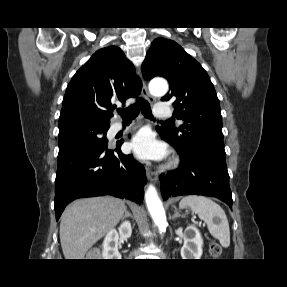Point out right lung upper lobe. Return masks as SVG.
Instances as JSON below:
<instances>
[{
    "mask_svg": "<svg viewBox=\"0 0 287 287\" xmlns=\"http://www.w3.org/2000/svg\"><path fill=\"white\" fill-rule=\"evenodd\" d=\"M142 81L116 46L102 48L72 77L62 103L59 127L76 122L110 124L113 103L136 97Z\"/></svg>",
    "mask_w": 287,
    "mask_h": 287,
    "instance_id": "cb5924a9",
    "label": "right lung upper lobe"
}]
</instances>
